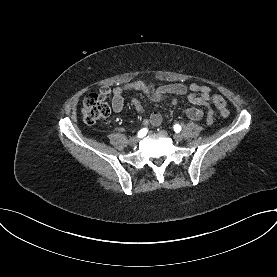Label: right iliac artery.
<instances>
[{
    "mask_svg": "<svg viewBox=\"0 0 277 277\" xmlns=\"http://www.w3.org/2000/svg\"><path fill=\"white\" fill-rule=\"evenodd\" d=\"M146 134H147V129L146 128H143L138 132V136L141 137V138L144 137Z\"/></svg>",
    "mask_w": 277,
    "mask_h": 277,
    "instance_id": "obj_1",
    "label": "right iliac artery"
}]
</instances>
